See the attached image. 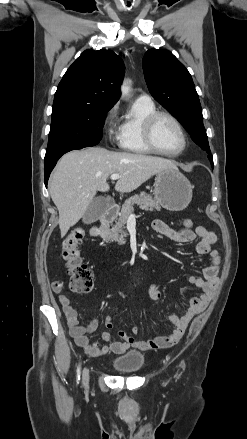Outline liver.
I'll use <instances>...</instances> for the list:
<instances>
[{"instance_id": "6515ba94", "label": "liver", "mask_w": 247, "mask_h": 439, "mask_svg": "<svg viewBox=\"0 0 247 439\" xmlns=\"http://www.w3.org/2000/svg\"><path fill=\"white\" fill-rule=\"evenodd\" d=\"M168 168L177 166L160 157L112 152L100 147L66 153L57 163L49 187L59 212L61 237L84 216L97 191L109 190L110 175H121L115 189L127 193Z\"/></svg>"}]
</instances>
